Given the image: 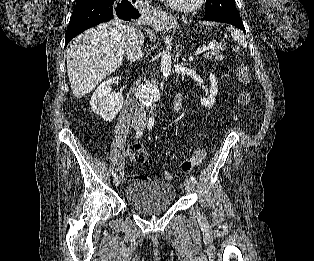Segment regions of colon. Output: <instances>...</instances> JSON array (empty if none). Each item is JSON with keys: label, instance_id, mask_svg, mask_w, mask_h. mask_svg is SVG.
<instances>
[{"label": "colon", "instance_id": "1", "mask_svg": "<svg viewBox=\"0 0 314 261\" xmlns=\"http://www.w3.org/2000/svg\"><path fill=\"white\" fill-rule=\"evenodd\" d=\"M236 75L239 82L242 84L247 85L250 82V73L247 67L239 65L236 70ZM240 102L243 105H247L250 102V94L248 92H243L240 96ZM205 156V150H197L191 159L185 160L180 164V170L182 172L190 171L195 165L201 163ZM137 162L140 164H151L152 160L147 155H139Z\"/></svg>", "mask_w": 314, "mask_h": 261}]
</instances>
